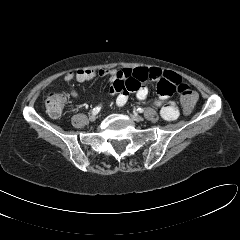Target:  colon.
I'll return each mask as SVG.
<instances>
[{"label": "colon", "mask_w": 240, "mask_h": 240, "mask_svg": "<svg viewBox=\"0 0 240 240\" xmlns=\"http://www.w3.org/2000/svg\"><path fill=\"white\" fill-rule=\"evenodd\" d=\"M177 92L180 96V101L184 111H192L198 99L196 92L185 83L178 85ZM65 100V96L61 93H49L45 99V106L48 114L53 117L59 116L63 110Z\"/></svg>", "instance_id": "obj_1"}]
</instances>
